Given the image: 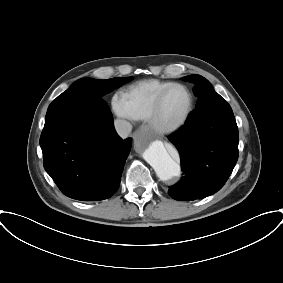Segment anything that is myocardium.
<instances>
[{"instance_id":"f54148a6","label":"myocardium","mask_w":283,"mask_h":283,"mask_svg":"<svg viewBox=\"0 0 283 283\" xmlns=\"http://www.w3.org/2000/svg\"><path fill=\"white\" fill-rule=\"evenodd\" d=\"M175 88H182L184 89L189 96V105L188 108L186 110V112L184 113L183 117L170 125H165L162 124L160 122L159 119V115H160V110H161V106H162V102L164 100V98L166 97V95ZM194 106H195V99H194V95L192 93V91L190 90L189 87H187L184 84L181 83H173L170 86H168L167 88H165L164 90H162L159 95L157 96L152 111L150 113V116L148 118V123L149 126L158 134L160 135H171L174 134L176 132H178L179 130H181L186 123L188 122V120L190 119L193 110H194Z\"/></svg>"}]
</instances>
